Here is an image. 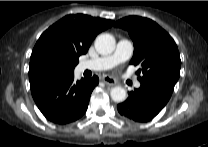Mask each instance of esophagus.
<instances>
[{"instance_id":"1","label":"esophagus","mask_w":208,"mask_h":147,"mask_svg":"<svg viewBox=\"0 0 208 147\" xmlns=\"http://www.w3.org/2000/svg\"><path fill=\"white\" fill-rule=\"evenodd\" d=\"M102 81H103L106 85H109V86H114V85L117 84V81H116L113 77L107 76V75H105V76L102 77Z\"/></svg>"}]
</instances>
